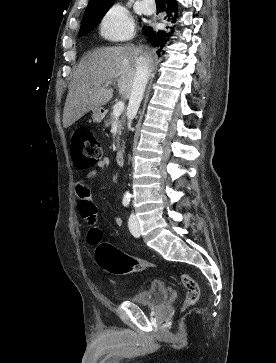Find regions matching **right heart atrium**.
Here are the masks:
<instances>
[{
    "mask_svg": "<svg viewBox=\"0 0 276 363\" xmlns=\"http://www.w3.org/2000/svg\"><path fill=\"white\" fill-rule=\"evenodd\" d=\"M100 31L108 39L121 40L130 37L133 33L130 14L121 5L112 6L102 19Z\"/></svg>",
    "mask_w": 276,
    "mask_h": 363,
    "instance_id": "right-heart-atrium-1",
    "label": "right heart atrium"
}]
</instances>
